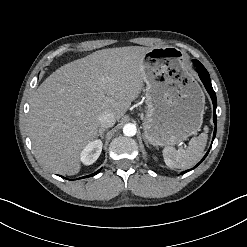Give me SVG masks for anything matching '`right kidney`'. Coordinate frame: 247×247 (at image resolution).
I'll return each instance as SVG.
<instances>
[{"mask_svg": "<svg viewBox=\"0 0 247 247\" xmlns=\"http://www.w3.org/2000/svg\"><path fill=\"white\" fill-rule=\"evenodd\" d=\"M102 151V142L100 140H94L89 142L80 154V160L85 165L93 164Z\"/></svg>", "mask_w": 247, "mask_h": 247, "instance_id": "right-kidney-1", "label": "right kidney"}]
</instances>
